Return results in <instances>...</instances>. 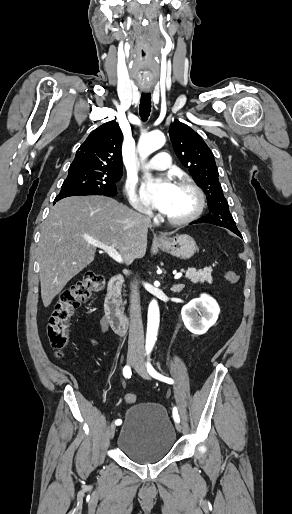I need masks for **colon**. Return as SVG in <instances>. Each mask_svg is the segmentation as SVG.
<instances>
[{
	"mask_svg": "<svg viewBox=\"0 0 292 514\" xmlns=\"http://www.w3.org/2000/svg\"><path fill=\"white\" fill-rule=\"evenodd\" d=\"M226 276L235 283L237 274L233 271H227ZM104 283L102 275L96 272H88L84 278L70 288L63 291L56 303L55 311L50 317L47 324V337L52 349L58 357L63 356V350L68 346L70 335V324L76 309L91 294L99 291ZM124 401L127 404H135L137 397L133 394H126Z\"/></svg>",
	"mask_w": 292,
	"mask_h": 514,
	"instance_id": "5ec220e1",
	"label": "colon"
}]
</instances>
